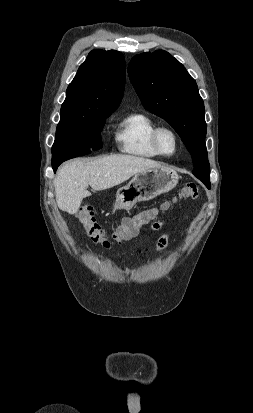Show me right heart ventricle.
I'll use <instances>...</instances> for the list:
<instances>
[{
  "label": "right heart ventricle",
  "mask_w": 253,
  "mask_h": 413,
  "mask_svg": "<svg viewBox=\"0 0 253 413\" xmlns=\"http://www.w3.org/2000/svg\"><path fill=\"white\" fill-rule=\"evenodd\" d=\"M157 122L142 112L126 115L115 131V141L120 152L140 158H156L159 154L151 144V133Z\"/></svg>",
  "instance_id": "obj_1"
}]
</instances>
